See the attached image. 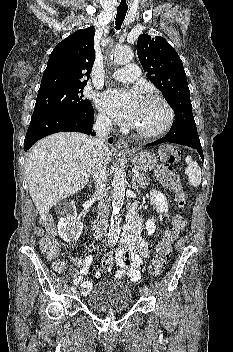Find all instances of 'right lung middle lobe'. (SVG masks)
Returning <instances> with one entry per match:
<instances>
[{
  "label": "right lung middle lobe",
  "instance_id": "obj_1",
  "mask_svg": "<svg viewBox=\"0 0 233 352\" xmlns=\"http://www.w3.org/2000/svg\"><path fill=\"white\" fill-rule=\"evenodd\" d=\"M85 85H47L40 87L33 115L51 111H77L92 108L84 99Z\"/></svg>",
  "mask_w": 233,
  "mask_h": 352
}]
</instances>
